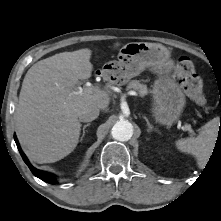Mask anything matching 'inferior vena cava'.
<instances>
[{
    "mask_svg": "<svg viewBox=\"0 0 221 221\" xmlns=\"http://www.w3.org/2000/svg\"><path fill=\"white\" fill-rule=\"evenodd\" d=\"M100 109L97 106H88L79 113L81 122H90L99 116Z\"/></svg>",
    "mask_w": 221,
    "mask_h": 221,
    "instance_id": "602c4592",
    "label": "inferior vena cava"
}]
</instances>
